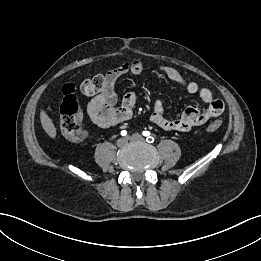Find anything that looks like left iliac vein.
Returning a JSON list of instances; mask_svg holds the SVG:
<instances>
[{
  "label": "left iliac vein",
  "instance_id": "1",
  "mask_svg": "<svg viewBox=\"0 0 261 261\" xmlns=\"http://www.w3.org/2000/svg\"><path fill=\"white\" fill-rule=\"evenodd\" d=\"M128 139L130 141H133V142H143V141H145V138L142 135L138 134V133L133 134Z\"/></svg>",
  "mask_w": 261,
  "mask_h": 261
}]
</instances>
